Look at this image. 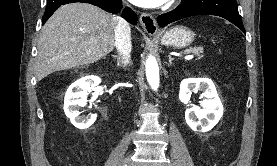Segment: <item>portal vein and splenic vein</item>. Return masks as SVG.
<instances>
[{"label":"portal vein and splenic vein","instance_id":"1","mask_svg":"<svg viewBox=\"0 0 277 166\" xmlns=\"http://www.w3.org/2000/svg\"><path fill=\"white\" fill-rule=\"evenodd\" d=\"M192 58H194L193 55H187V56H185V59H186V60H189V59H192Z\"/></svg>","mask_w":277,"mask_h":166}]
</instances>
